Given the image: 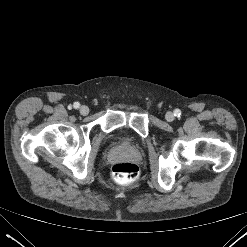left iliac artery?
<instances>
[{"mask_svg":"<svg viewBox=\"0 0 247 247\" xmlns=\"http://www.w3.org/2000/svg\"><path fill=\"white\" fill-rule=\"evenodd\" d=\"M174 115L177 116V117H180L181 111H180L179 109H176V110L174 111Z\"/></svg>","mask_w":247,"mask_h":247,"instance_id":"44dca946","label":"left iliac artery"}]
</instances>
